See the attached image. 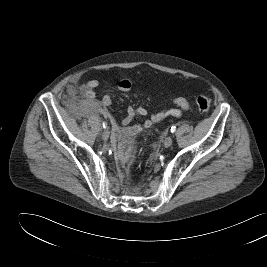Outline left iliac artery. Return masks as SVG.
<instances>
[{
  "instance_id": "44dca946",
  "label": "left iliac artery",
  "mask_w": 267,
  "mask_h": 267,
  "mask_svg": "<svg viewBox=\"0 0 267 267\" xmlns=\"http://www.w3.org/2000/svg\"><path fill=\"white\" fill-rule=\"evenodd\" d=\"M176 131V127L175 126H172L171 127V133H174Z\"/></svg>"
}]
</instances>
